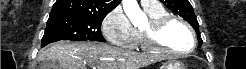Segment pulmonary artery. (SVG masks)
Wrapping results in <instances>:
<instances>
[{
    "instance_id": "pulmonary-artery-1",
    "label": "pulmonary artery",
    "mask_w": 246,
    "mask_h": 69,
    "mask_svg": "<svg viewBox=\"0 0 246 69\" xmlns=\"http://www.w3.org/2000/svg\"><path fill=\"white\" fill-rule=\"evenodd\" d=\"M141 3L143 7H157L160 5L158 1H149V0H142Z\"/></svg>"
}]
</instances>
